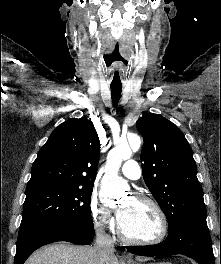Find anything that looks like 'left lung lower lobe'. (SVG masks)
<instances>
[{"mask_svg":"<svg viewBox=\"0 0 221 264\" xmlns=\"http://www.w3.org/2000/svg\"><path fill=\"white\" fill-rule=\"evenodd\" d=\"M128 251L142 256L186 255L199 264H214L207 223L176 225L169 229L161 243L149 246H127Z\"/></svg>","mask_w":221,"mask_h":264,"instance_id":"obj_1","label":"left lung lower lobe"}]
</instances>
